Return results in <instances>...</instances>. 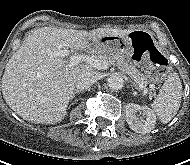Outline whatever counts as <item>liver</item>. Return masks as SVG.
<instances>
[{"instance_id":"1","label":"liver","mask_w":190,"mask_h":165,"mask_svg":"<svg viewBox=\"0 0 190 165\" xmlns=\"http://www.w3.org/2000/svg\"><path fill=\"white\" fill-rule=\"evenodd\" d=\"M132 30L98 28L85 30L42 27L32 31L9 59L2 77V94L9 107L35 124H55L65 115L74 91L76 77L92 71L86 64L69 67L62 56L53 53L71 48L83 50L89 40L104 36L124 37Z\"/></svg>"}]
</instances>
